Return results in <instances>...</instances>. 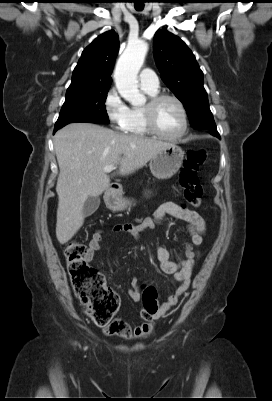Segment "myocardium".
Listing matches in <instances>:
<instances>
[{"instance_id": "1", "label": "myocardium", "mask_w": 272, "mask_h": 401, "mask_svg": "<svg viewBox=\"0 0 272 401\" xmlns=\"http://www.w3.org/2000/svg\"><path fill=\"white\" fill-rule=\"evenodd\" d=\"M165 100H171L174 101L178 107L180 108V111L182 113L183 117V129L182 131L174 136H169L164 134L158 127L157 122H156V112L158 106ZM143 113H144V120L145 124L148 128V130L155 136L168 140V141H177L181 138H183L189 128V119H188V114L187 110L185 108V105L183 102L176 96L171 95V94H156L154 96H151L148 100V102L143 106Z\"/></svg>"}]
</instances>
